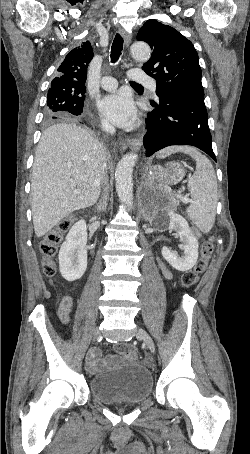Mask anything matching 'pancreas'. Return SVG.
Masks as SVG:
<instances>
[{
  "label": "pancreas",
  "mask_w": 250,
  "mask_h": 454,
  "mask_svg": "<svg viewBox=\"0 0 250 454\" xmlns=\"http://www.w3.org/2000/svg\"><path fill=\"white\" fill-rule=\"evenodd\" d=\"M167 196L171 200L173 207L176 208L178 201L175 199L174 195L172 193H168Z\"/></svg>",
  "instance_id": "pancreas-1"
}]
</instances>
